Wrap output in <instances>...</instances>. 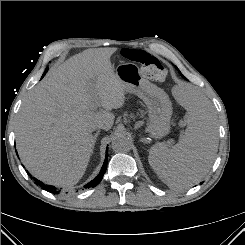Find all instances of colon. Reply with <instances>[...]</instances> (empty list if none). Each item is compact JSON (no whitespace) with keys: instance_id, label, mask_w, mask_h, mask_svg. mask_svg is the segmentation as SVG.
<instances>
[{"instance_id":"1","label":"colon","mask_w":245,"mask_h":245,"mask_svg":"<svg viewBox=\"0 0 245 245\" xmlns=\"http://www.w3.org/2000/svg\"><path fill=\"white\" fill-rule=\"evenodd\" d=\"M123 55L134 62L140 63L144 75L152 80L162 81L167 77V70L158 58L142 50L126 49Z\"/></svg>"}]
</instances>
